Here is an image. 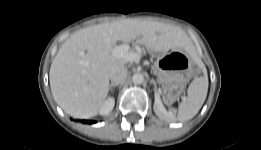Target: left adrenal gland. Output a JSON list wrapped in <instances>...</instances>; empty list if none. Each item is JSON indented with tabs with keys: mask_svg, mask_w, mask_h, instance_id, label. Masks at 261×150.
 <instances>
[{
	"mask_svg": "<svg viewBox=\"0 0 261 150\" xmlns=\"http://www.w3.org/2000/svg\"><path fill=\"white\" fill-rule=\"evenodd\" d=\"M150 83H153V80H150Z\"/></svg>",
	"mask_w": 261,
	"mask_h": 150,
	"instance_id": "a2214340",
	"label": "left adrenal gland"
}]
</instances>
